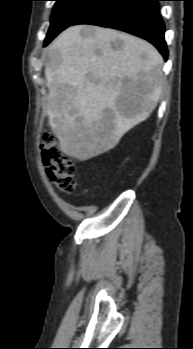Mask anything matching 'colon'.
<instances>
[{
	"label": "colon",
	"instance_id": "obj_1",
	"mask_svg": "<svg viewBox=\"0 0 193 349\" xmlns=\"http://www.w3.org/2000/svg\"><path fill=\"white\" fill-rule=\"evenodd\" d=\"M41 155L49 179L65 194L76 187L75 166L65 155L53 134H45L41 144Z\"/></svg>",
	"mask_w": 193,
	"mask_h": 349
}]
</instances>
